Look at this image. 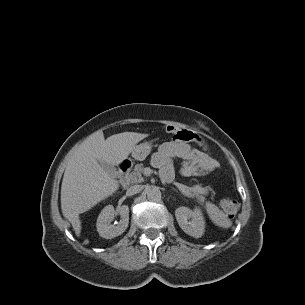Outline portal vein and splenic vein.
Segmentation results:
<instances>
[{
  "label": "portal vein and splenic vein",
  "mask_w": 305,
  "mask_h": 305,
  "mask_svg": "<svg viewBox=\"0 0 305 305\" xmlns=\"http://www.w3.org/2000/svg\"><path fill=\"white\" fill-rule=\"evenodd\" d=\"M148 175L150 174V169L148 170V173H147Z\"/></svg>",
  "instance_id": "obj_1"
}]
</instances>
